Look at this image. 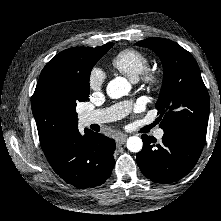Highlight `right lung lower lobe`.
<instances>
[{"label": "right lung lower lobe", "instance_id": "1", "mask_svg": "<svg viewBox=\"0 0 221 221\" xmlns=\"http://www.w3.org/2000/svg\"><path fill=\"white\" fill-rule=\"evenodd\" d=\"M115 141L86 129H72L53 142L44 154L54 171L77 188L96 187L111 175Z\"/></svg>", "mask_w": 221, "mask_h": 221}]
</instances>
